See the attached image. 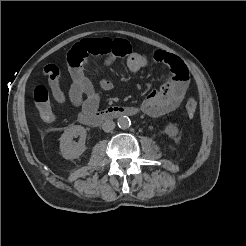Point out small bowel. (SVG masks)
Returning <instances> with one entry per match:
<instances>
[{
	"mask_svg": "<svg viewBox=\"0 0 246 246\" xmlns=\"http://www.w3.org/2000/svg\"><path fill=\"white\" fill-rule=\"evenodd\" d=\"M103 56V66L109 67L120 57H125L131 72H138L150 66L149 60L133 51L131 44L123 39H85L77 43L68 53V69L71 77L68 100L82 112H94L100 103V96L87 75L90 58ZM153 59L168 67V74L159 90L150 92L142 101L140 110L152 117L174 111L182 102L189 87V74L185 63L177 56L162 50L153 53ZM49 87L56 102L65 104L67 98L60 87V69L54 64L44 68ZM99 88L109 91L113 88L107 79L99 81Z\"/></svg>",
	"mask_w": 246,
	"mask_h": 246,
	"instance_id": "small-bowel-1",
	"label": "small bowel"
}]
</instances>
